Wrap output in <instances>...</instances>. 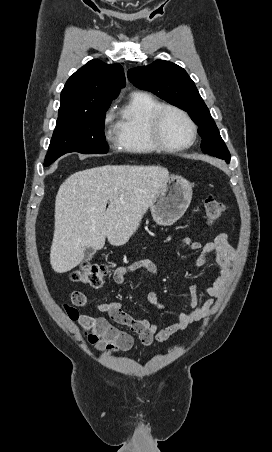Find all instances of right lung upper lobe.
I'll list each match as a JSON object with an SVG mask.
<instances>
[{
  "mask_svg": "<svg viewBox=\"0 0 272 452\" xmlns=\"http://www.w3.org/2000/svg\"><path fill=\"white\" fill-rule=\"evenodd\" d=\"M124 86L125 76L120 64L109 65L93 59L67 80L61 92L58 117L107 107Z\"/></svg>",
  "mask_w": 272,
  "mask_h": 452,
  "instance_id": "right-lung-upper-lobe-1",
  "label": "right lung upper lobe"
}]
</instances>
